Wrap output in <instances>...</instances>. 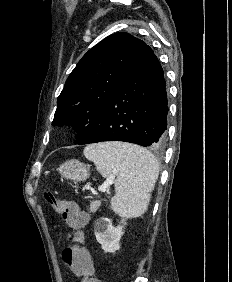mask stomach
Here are the masks:
<instances>
[{
	"label": "stomach",
	"mask_w": 232,
	"mask_h": 282,
	"mask_svg": "<svg viewBox=\"0 0 232 282\" xmlns=\"http://www.w3.org/2000/svg\"><path fill=\"white\" fill-rule=\"evenodd\" d=\"M58 170L63 178L74 182L85 181L90 176L89 166L79 160L66 161Z\"/></svg>",
	"instance_id": "obj_1"
}]
</instances>
